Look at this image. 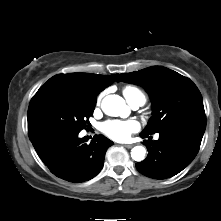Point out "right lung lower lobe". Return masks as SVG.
I'll use <instances>...</instances> for the list:
<instances>
[{
    "label": "right lung lower lobe",
    "mask_w": 221,
    "mask_h": 221,
    "mask_svg": "<svg viewBox=\"0 0 221 221\" xmlns=\"http://www.w3.org/2000/svg\"><path fill=\"white\" fill-rule=\"evenodd\" d=\"M37 154L57 177L69 182H84L95 177L104 165V157L113 142L96 135L87 144L78 133L42 131L29 135Z\"/></svg>",
    "instance_id": "right-lung-lower-lobe-1"
}]
</instances>
